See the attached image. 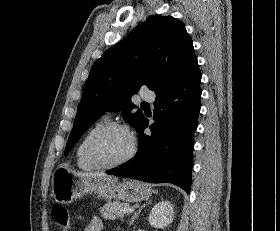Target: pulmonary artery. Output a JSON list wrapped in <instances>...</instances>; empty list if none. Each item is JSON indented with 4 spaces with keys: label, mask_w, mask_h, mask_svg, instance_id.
<instances>
[{
    "label": "pulmonary artery",
    "mask_w": 280,
    "mask_h": 231,
    "mask_svg": "<svg viewBox=\"0 0 280 231\" xmlns=\"http://www.w3.org/2000/svg\"><path fill=\"white\" fill-rule=\"evenodd\" d=\"M140 96L147 101H153L155 99V93L153 91H140Z\"/></svg>",
    "instance_id": "1"
}]
</instances>
